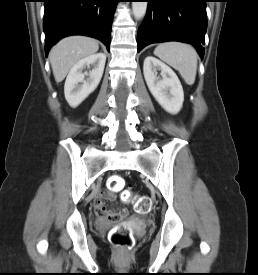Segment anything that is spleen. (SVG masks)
Listing matches in <instances>:
<instances>
[{
	"mask_svg": "<svg viewBox=\"0 0 258 275\" xmlns=\"http://www.w3.org/2000/svg\"><path fill=\"white\" fill-rule=\"evenodd\" d=\"M154 54L178 70L186 84H194L197 73V53L191 45L180 42L161 43L155 48Z\"/></svg>",
	"mask_w": 258,
	"mask_h": 275,
	"instance_id": "obj_1",
	"label": "spleen"
}]
</instances>
